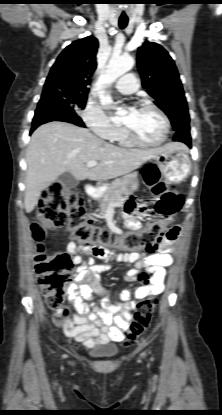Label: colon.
I'll return each mask as SVG.
<instances>
[{
    "mask_svg": "<svg viewBox=\"0 0 222 415\" xmlns=\"http://www.w3.org/2000/svg\"><path fill=\"white\" fill-rule=\"evenodd\" d=\"M143 176L155 199V216L142 230L122 236L100 227L89 218L76 189L54 182L43 193L36 221L32 224V233L38 243L34 258L35 270L49 308H61L66 286L71 280L70 272L75 265L74 258L67 252L53 255L46 253L42 241L49 232L64 228L74 244L96 254H102L109 248H119L127 253H152L157 249L168 232L169 221L181 207L182 197L160 179L156 167H145ZM141 209H147L144 203L141 204ZM140 278L146 280L148 275L143 273ZM156 305L154 297L141 299L137 303L127 344L133 343L148 328Z\"/></svg>",
    "mask_w": 222,
    "mask_h": 415,
    "instance_id": "obj_1",
    "label": "colon"
}]
</instances>
